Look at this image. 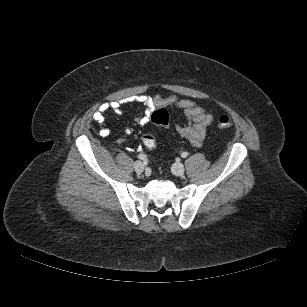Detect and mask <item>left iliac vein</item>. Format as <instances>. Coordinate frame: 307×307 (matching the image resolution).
<instances>
[{"label": "left iliac vein", "mask_w": 307, "mask_h": 307, "mask_svg": "<svg viewBox=\"0 0 307 307\" xmlns=\"http://www.w3.org/2000/svg\"><path fill=\"white\" fill-rule=\"evenodd\" d=\"M172 172L177 175V176H181L184 174L185 172V167L182 163H176L174 164V166L172 167Z\"/></svg>", "instance_id": "1"}]
</instances>
